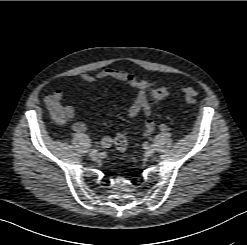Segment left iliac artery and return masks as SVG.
Returning <instances> with one entry per match:
<instances>
[{"label": "left iliac artery", "mask_w": 247, "mask_h": 245, "mask_svg": "<svg viewBox=\"0 0 247 245\" xmlns=\"http://www.w3.org/2000/svg\"><path fill=\"white\" fill-rule=\"evenodd\" d=\"M160 129H161L162 131H165V130L167 129V126H166L165 124H162V125L160 126Z\"/></svg>", "instance_id": "1"}]
</instances>
